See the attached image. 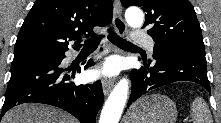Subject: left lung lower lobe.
Wrapping results in <instances>:
<instances>
[{"instance_id":"0a47b994","label":"left lung lower lobe","mask_w":221,"mask_h":123,"mask_svg":"<svg viewBox=\"0 0 221 123\" xmlns=\"http://www.w3.org/2000/svg\"><path fill=\"white\" fill-rule=\"evenodd\" d=\"M153 57L154 61L142 57L144 67L131 71L132 89L127 107L149 91L176 81L196 82L210 92L205 55L156 51Z\"/></svg>"}]
</instances>
